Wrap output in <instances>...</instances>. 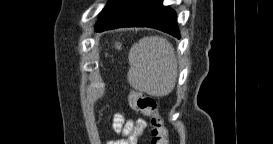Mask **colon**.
Here are the masks:
<instances>
[{"label": "colon", "mask_w": 273, "mask_h": 144, "mask_svg": "<svg viewBox=\"0 0 273 144\" xmlns=\"http://www.w3.org/2000/svg\"><path fill=\"white\" fill-rule=\"evenodd\" d=\"M130 103L134 110L151 118V144H168V131L157 102L146 94L133 92L130 96Z\"/></svg>", "instance_id": "5ec220e1"}]
</instances>
